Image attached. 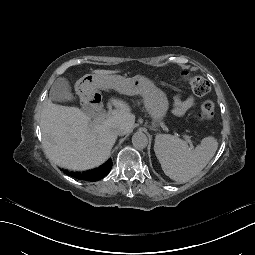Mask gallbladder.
Returning <instances> with one entry per match:
<instances>
[{
    "instance_id": "obj_1",
    "label": "gallbladder",
    "mask_w": 255,
    "mask_h": 255,
    "mask_svg": "<svg viewBox=\"0 0 255 255\" xmlns=\"http://www.w3.org/2000/svg\"><path fill=\"white\" fill-rule=\"evenodd\" d=\"M50 99L53 101L66 102L72 100L69 83L65 78H57L50 90ZM82 111L87 113V107L83 106Z\"/></svg>"
}]
</instances>
